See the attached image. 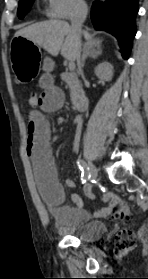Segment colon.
<instances>
[{
    "label": "colon",
    "mask_w": 148,
    "mask_h": 279,
    "mask_svg": "<svg viewBox=\"0 0 148 279\" xmlns=\"http://www.w3.org/2000/svg\"><path fill=\"white\" fill-rule=\"evenodd\" d=\"M38 96L35 93H29L27 95L26 101L27 104L31 107H35L38 103ZM112 219H130V211L128 205L125 202H119L116 204L110 213ZM134 236L130 231L122 230L116 235L115 244H116V253L122 254L130 250L134 246Z\"/></svg>",
    "instance_id": "1"
}]
</instances>
